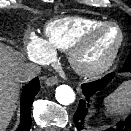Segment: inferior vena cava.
<instances>
[{
	"label": "inferior vena cava",
	"mask_w": 131,
	"mask_h": 131,
	"mask_svg": "<svg viewBox=\"0 0 131 131\" xmlns=\"http://www.w3.org/2000/svg\"><path fill=\"white\" fill-rule=\"evenodd\" d=\"M40 71V66L34 63H27L19 68L16 78L19 82H27L36 77Z\"/></svg>",
	"instance_id": "inferior-vena-cava-1"
}]
</instances>
